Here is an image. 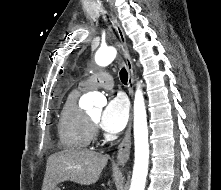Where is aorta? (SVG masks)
<instances>
[{
	"label": "aorta",
	"instance_id": "1",
	"mask_svg": "<svg viewBox=\"0 0 221 190\" xmlns=\"http://www.w3.org/2000/svg\"><path fill=\"white\" fill-rule=\"evenodd\" d=\"M114 47L99 49L95 54V61L101 67L108 66L116 58ZM90 104H105L106 99L96 92L85 96ZM134 149L135 159L129 190H144L149 166V142L146 106L140 85L137 86L134 99Z\"/></svg>",
	"mask_w": 221,
	"mask_h": 190
}]
</instances>
